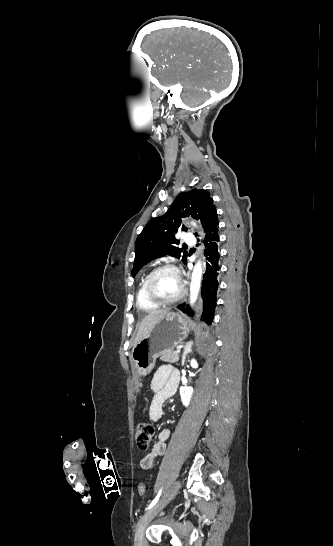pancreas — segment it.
Masks as SVG:
<instances>
[{
    "label": "pancreas",
    "instance_id": "pancreas-1",
    "mask_svg": "<svg viewBox=\"0 0 333 546\" xmlns=\"http://www.w3.org/2000/svg\"><path fill=\"white\" fill-rule=\"evenodd\" d=\"M160 360L169 363H176L179 361V353H176V351L164 352L161 354Z\"/></svg>",
    "mask_w": 333,
    "mask_h": 546
}]
</instances>
